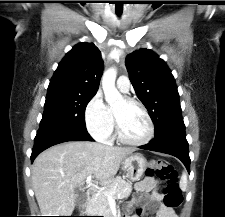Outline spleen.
Listing matches in <instances>:
<instances>
[{
    "instance_id": "spleen-1",
    "label": "spleen",
    "mask_w": 225,
    "mask_h": 217,
    "mask_svg": "<svg viewBox=\"0 0 225 217\" xmlns=\"http://www.w3.org/2000/svg\"><path fill=\"white\" fill-rule=\"evenodd\" d=\"M180 188L181 190L185 191L187 187V174L183 172L181 179H180Z\"/></svg>"
}]
</instances>
